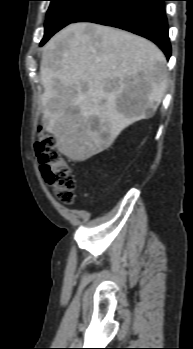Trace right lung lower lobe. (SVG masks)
I'll list each match as a JSON object with an SVG mask.
<instances>
[{"label": "right lung lower lobe", "mask_w": 193, "mask_h": 349, "mask_svg": "<svg viewBox=\"0 0 193 349\" xmlns=\"http://www.w3.org/2000/svg\"><path fill=\"white\" fill-rule=\"evenodd\" d=\"M164 1L98 0L72 23L93 22L130 31L153 41L169 59L171 46Z\"/></svg>", "instance_id": "obj_1"}]
</instances>
